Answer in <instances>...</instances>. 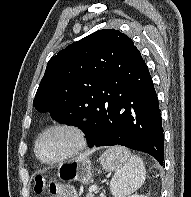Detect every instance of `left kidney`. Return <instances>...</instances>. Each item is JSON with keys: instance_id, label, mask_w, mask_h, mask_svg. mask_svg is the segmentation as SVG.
Segmentation results:
<instances>
[{"instance_id": "left-kidney-1", "label": "left kidney", "mask_w": 191, "mask_h": 197, "mask_svg": "<svg viewBox=\"0 0 191 197\" xmlns=\"http://www.w3.org/2000/svg\"><path fill=\"white\" fill-rule=\"evenodd\" d=\"M129 197H146V196H144V195H138V194H133V195H131Z\"/></svg>"}]
</instances>
